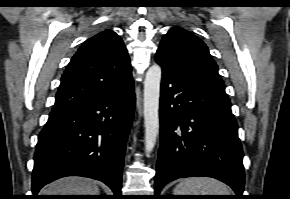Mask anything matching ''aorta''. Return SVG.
Here are the masks:
<instances>
[{"label":"aorta","instance_id":"aorta-1","mask_svg":"<svg viewBox=\"0 0 290 199\" xmlns=\"http://www.w3.org/2000/svg\"><path fill=\"white\" fill-rule=\"evenodd\" d=\"M161 75V67L154 64L147 70L144 81L145 152L147 155L154 149L159 134Z\"/></svg>","mask_w":290,"mask_h":199}]
</instances>
